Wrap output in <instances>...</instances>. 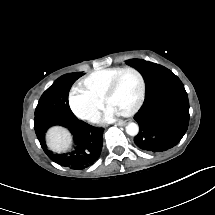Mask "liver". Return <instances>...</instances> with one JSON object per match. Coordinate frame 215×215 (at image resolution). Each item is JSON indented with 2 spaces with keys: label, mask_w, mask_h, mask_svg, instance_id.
<instances>
[{
  "label": "liver",
  "mask_w": 215,
  "mask_h": 215,
  "mask_svg": "<svg viewBox=\"0 0 215 215\" xmlns=\"http://www.w3.org/2000/svg\"><path fill=\"white\" fill-rule=\"evenodd\" d=\"M46 139L49 149L57 153L65 152L72 144L69 131L59 126L50 128Z\"/></svg>",
  "instance_id": "liver-1"
}]
</instances>
